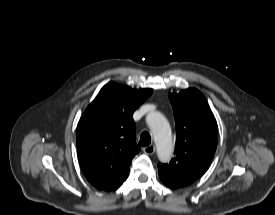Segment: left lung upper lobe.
I'll list each match as a JSON object with an SVG mask.
<instances>
[{"label":"left lung upper lobe","instance_id":"obj_1","mask_svg":"<svg viewBox=\"0 0 275 215\" xmlns=\"http://www.w3.org/2000/svg\"><path fill=\"white\" fill-rule=\"evenodd\" d=\"M176 122L175 158L158 170L180 184L189 185L209 168L218 139L214 115L204 95L189 88L169 94Z\"/></svg>","mask_w":275,"mask_h":215}]
</instances>
